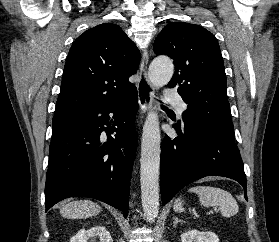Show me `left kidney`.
<instances>
[{"label": "left kidney", "mask_w": 279, "mask_h": 242, "mask_svg": "<svg viewBox=\"0 0 279 242\" xmlns=\"http://www.w3.org/2000/svg\"><path fill=\"white\" fill-rule=\"evenodd\" d=\"M219 242L217 235L211 231L200 232L195 229L181 235V242Z\"/></svg>", "instance_id": "obj_1"}]
</instances>
